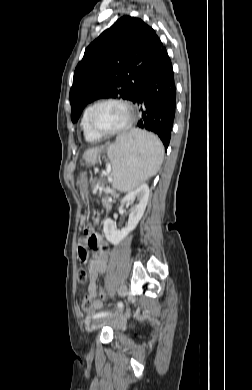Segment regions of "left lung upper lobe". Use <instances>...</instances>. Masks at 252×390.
<instances>
[{
  "label": "left lung upper lobe",
  "mask_w": 252,
  "mask_h": 390,
  "mask_svg": "<svg viewBox=\"0 0 252 390\" xmlns=\"http://www.w3.org/2000/svg\"><path fill=\"white\" fill-rule=\"evenodd\" d=\"M163 44L141 19L123 16L85 50L70 90L71 120L83 108L101 98L133 102L137 86Z\"/></svg>",
  "instance_id": "left-lung-upper-lobe-1"
}]
</instances>
